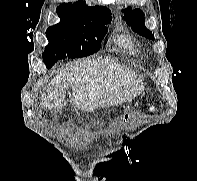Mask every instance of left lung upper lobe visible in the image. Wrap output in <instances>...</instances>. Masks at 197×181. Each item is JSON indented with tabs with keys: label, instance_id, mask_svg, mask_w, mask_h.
I'll return each instance as SVG.
<instances>
[{
	"label": "left lung upper lobe",
	"instance_id": "obj_1",
	"mask_svg": "<svg viewBox=\"0 0 197 181\" xmlns=\"http://www.w3.org/2000/svg\"><path fill=\"white\" fill-rule=\"evenodd\" d=\"M123 11L126 13L124 15V19L126 20L128 25L132 26V29L135 32L149 39L154 38L152 32L149 29H147L144 24V13L140 9L132 10L131 7H127Z\"/></svg>",
	"mask_w": 197,
	"mask_h": 181
}]
</instances>
